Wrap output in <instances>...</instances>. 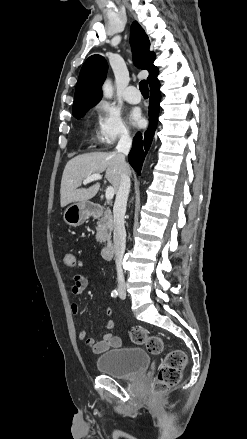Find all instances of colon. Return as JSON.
Instances as JSON below:
<instances>
[{
    "label": "colon",
    "instance_id": "5ec220e1",
    "mask_svg": "<svg viewBox=\"0 0 247 439\" xmlns=\"http://www.w3.org/2000/svg\"><path fill=\"white\" fill-rule=\"evenodd\" d=\"M67 267H76L78 262L74 254L67 253L63 258ZM131 340L138 345H144L151 354H160L164 350V342L161 338L148 334L142 328H135L130 333ZM187 365V356L179 348H172L165 356L155 381L152 385L154 394H161L175 386L181 379Z\"/></svg>",
    "mask_w": 247,
    "mask_h": 439
}]
</instances>
